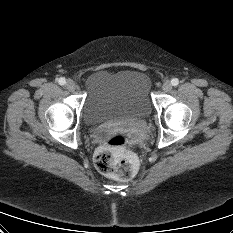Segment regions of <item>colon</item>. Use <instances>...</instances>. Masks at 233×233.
Returning <instances> with one entry per match:
<instances>
[{"label":"colon","instance_id":"5ec220e1","mask_svg":"<svg viewBox=\"0 0 233 233\" xmlns=\"http://www.w3.org/2000/svg\"><path fill=\"white\" fill-rule=\"evenodd\" d=\"M127 141L123 133L117 132L98 148L94 162L101 173L120 180L131 179L135 175L136 161L126 152Z\"/></svg>","mask_w":233,"mask_h":233}]
</instances>
